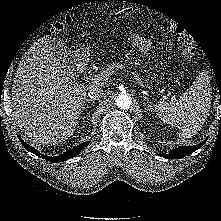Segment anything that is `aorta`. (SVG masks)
Returning <instances> with one entry per match:
<instances>
[{
  "mask_svg": "<svg viewBox=\"0 0 221 221\" xmlns=\"http://www.w3.org/2000/svg\"><path fill=\"white\" fill-rule=\"evenodd\" d=\"M116 104L120 109H129L132 104L131 97L127 94H119L116 98Z\"/></svg>",
  "mask_w": 221,
  "mask_h": 221,
  "instance_id": "aorta-1",
  "label": "aorta"
}]
</instances>
